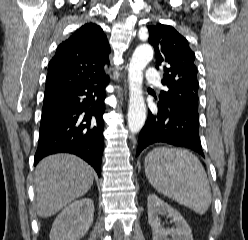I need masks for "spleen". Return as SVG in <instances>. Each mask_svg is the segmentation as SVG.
Instances as JSON below:
<instances>
[{
  "mask_svg": "<svg viewBox=\"0 0 248 240\" xmlns=\"http://www.w3.org/2000/svg\"><path fill=\"white\" fill-rule=\"evenodd\" d=\"M145 174L161 194L196 213L207 212L212 201L207 174L190 151L158 147L145 157Z\"/></svg>",
  "mask_w": 248,
  "mask_h": 240,
  "instance_id": "spleen-1",
  "label": "spleen"
}]
</instances>
